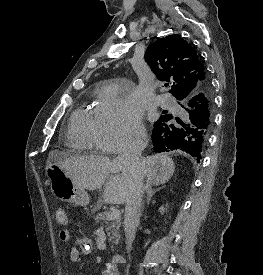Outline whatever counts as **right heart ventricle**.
<instances>
[{"instance_id":"right-heart-ventricle-1","label":"right heart ventricle","mask_w":263,"mask_h":275,"mask_svg":"<svg viewBox=\"0 0 263 275\" xmlns=\"http://www.w3.org/2000/svg\"><path fill=\"white\" fill-rule=\"evenodd\" d=\"M99 108L90 110L82 107L71 115L68 131L67 146L74 150H91L98 146Z\"/></svg>"}]
</instances>
